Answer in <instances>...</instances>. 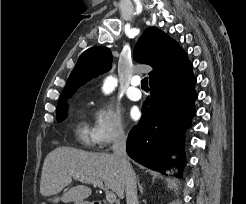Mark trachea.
Wrapping results in <instances>:
<instances>
[{
  "instance_id": "trachea-1",
  "label": "trachea",
  "mask_w": 246,
  "mask_h": 204,
  "mask_svg": "<svg viewBox=\"0 0 246 204\" xmlns=\"http://www.w3.org/2000/svg\"><path fill=\"white\" fill-rule=\"evenodd\" d=\"M141 87L144 90L149 89V87H148V77H145V78L142 79V81H141Z\"/></svg>"
}]
</instances>
